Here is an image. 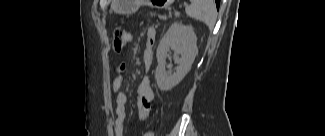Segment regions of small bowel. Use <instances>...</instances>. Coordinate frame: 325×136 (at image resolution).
<instances>
[{
	"instance_id": "obj_1",
	"label": "small bowel",
	"mask_w": 325,
	"mask_h": 136,
	"mask_svg": "<svg viewBox=\"0 0 325 136\" xmlns=\"http://www.w3.org/2000/svg\"><path fill=\"white\" fill-rule=\"evenodd\" d=\"M126 37V42H131L133 35L130 31L124 30ZM156 37V31L153 28H150L146 32V45L143 53V64L146 69H148L152 63V53L151 47ZM126 64L121 63L117 65L114 69V75L111 82V92L115 99L116 108L115 113L116 117L113 122V131L116 136H123L124 134V121L126 118V104L128 102L127 95L122 91V85L124 82V76L126 73ZM153 98V91L150 86L149 80L147 77L143 78L138 85L137 96H136V105L138 110V117L141 120H145L151 110V101Z\"/></svg>"
}]
</instances>
